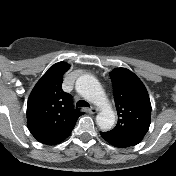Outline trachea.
Segmentation results:
<instances>
[{
  "mask_svg": "<svg viewBox=\"0 0 176 176\" xmlns=\"http://www.w3.org/2000/svg\"><path fill=\"white\" fill-rule=\"evenodd\" d=\"M76 107H90V105L86 101L80 100L77 102Z\"/></svg>",
  "mask_w": 176,
  "mask_h": 176,
  "instance_id": "1",
  "label": "trachea"
}]
</instances>
